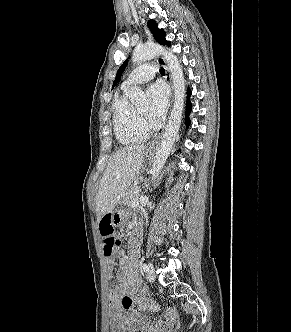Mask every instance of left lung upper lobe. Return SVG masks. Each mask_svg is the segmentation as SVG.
I'll return each mask as SVG.
<instances>
[{"label": "left lung upper lobe", "mask_w": 291, "mask_h": 332, "mask_svg": "<svg viewBox=\"0 0 291 332\" xmlns=\"http://www.w3.org/2000/svg\"><path fill=\"white\" fill-rule=\"evenodd\" d=\"M148 27H149L150 31L152 32V34H153L155 40H156L158 43H160V44H162V45H168V46H170V42L167 41V40L165 39V32H164V30H163V29H159V28L157 27V24H156V22H155L154 20H150V21L148 22ZM127 63H128V61L126 60V61H124V63L120 66V68H119V70H118V72H117V75H116V78H115V81H114L112 87H114V86L117 84L118 80L120 79V77H121L123 71L125 70V68H126V66H127Z\"/></svg>", "instance_id": "5c2ea615"}]
</instances>
